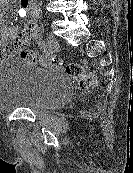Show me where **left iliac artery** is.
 Listing matches in <instances>:
<instances>
[{
	"label": "left iliac artery",
	"instance_id": "left-iliac-artery-1",
	"mask_svg": "<svg viewBox=\"0 0 133 173\" xmlns=\"http://www.w3.org/2000/svg\"><path fill=\"white\" fill-rule=\"evenodd\" d=\"M39 44H40L41 46H44V45H45V41H44V40H40V41H39Z\"/></svg>",
	"mask_w": 133,
	"mask_h": 173
}]
</instances>
